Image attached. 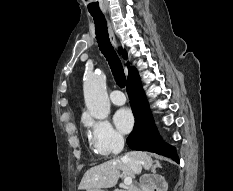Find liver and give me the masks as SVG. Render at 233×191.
<instances>
[{"instance_id": "6515ba94", "label": "liver", "mask_w": 233, "mask_h": 191, "mask_svg": "<svg viewBox=\"0 0 233 191\" xmlns=\"http://www.w3.org/2000/svg\"><path fill=\"white\" fill-rule=\"evenodd\" d=\"M130 157L138 159L145 170H148L152 166V158L146 152L131 151L125 154L121 159L109 160L87 170L78 189L94 191L114 187L121 176L120 171H122L123 175L126 177L134 176L135 173L129 165L124 162Z\"/></svg>"}]
</instances>
